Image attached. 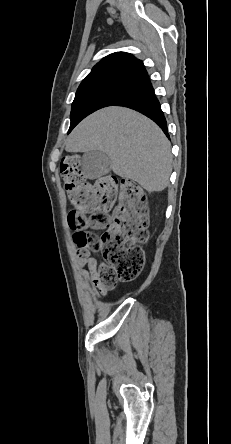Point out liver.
Listing matches in <instances>:
<instances>
[{"label": "liver", "mask_w": 231, "mask_h": 444, "mask_svg": "<svg viewBox=\"0 0 231 444\" xmlns=\"http://www.w3.org/2000/svg\"><path fill=\"white\" fill-rule=\"evenodd\" d=\"M67 152L105 153L113 172L139 183L148 192L164 190L172 171L171 145L149 118L125 107H106L89 115L72 131Z\"/></svg>", "instance_id": "1"}]
</instances>
